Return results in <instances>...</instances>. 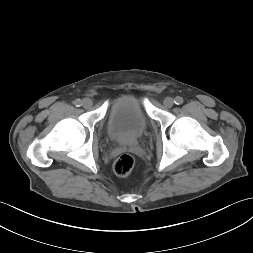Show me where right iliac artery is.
<instances>
[{
	"mask_svg": "<svg viewBox=\"0 0 253 253\" xmlns=\"http://www.w3.org/2000/svg\"><path fill=\"white\" fill-rule=\"evenodd\" d=\"M74 105L77 106V107H80L82 105V101L80 99H76L74 101Z\"/></svg>",
	"mask_w": 253,
	"mask_h": 253,
	"instance_id": "obj_1",
	"label": "right iliac artery"
}]
</instances>
